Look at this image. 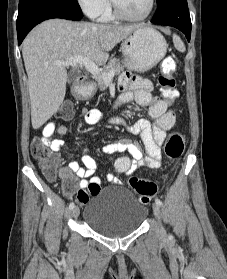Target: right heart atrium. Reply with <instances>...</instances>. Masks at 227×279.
<instances>
[{
  "mask_svg": "<svg viewBox=\"0 0 227 279\" xmlns=\"http://www.w3.org/2000/svg\"><path fill=\"white\" fill-rule=\"evenodd\" d=\"M82 10L91 17H99L109 6V0H76Z\"/></svg>",
  "mask_w": 227,
  "mask_h": 279,
  "instance_id": "1",
  "label": "right heart atrium"
}]
</instances>
